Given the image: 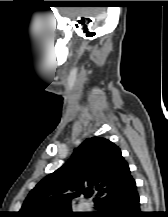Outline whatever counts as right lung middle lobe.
<instances>
[{"instance_id":"dd1d6c3e","label":"right lung middle lobe","mask_w":168,"mask_h":217,"mask_svg":"<svg viewBox=\"0 0 168 217\" xmlns=\"http://www.w3.org/2000/svg\"><path fill=\"white\" fill-rule=\"evenodd\" d=\"M53 217H82V216L81 215H54Z\"/></svg>"}]
</instances>
